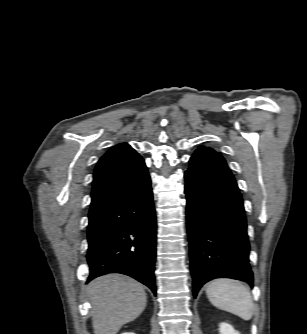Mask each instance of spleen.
<instances>
[{"mask_svg":"<svg viewBox=\"0 0 307 334\" xmlns=\"http://www.w3.org/2000/svg\"><path fill=\"white\" fill-rule=\"evenodd\" d=\"M209 301L217 308L228 311L244 320L253 316L254 304L250 291L232 279H216L206 288Z\"/></svg>","mask_w":307,"mask_h":334,"instance_id":"1","label":"spleen"}]
</instances>
